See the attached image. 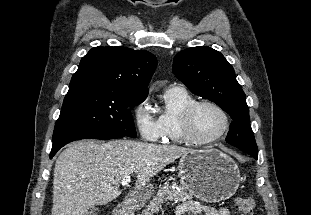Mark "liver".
<instances>
[{
  "label": "liver",
  "mask_w": 311,
  "mask_h": 215,
  "mask_svg": "<svg viewBox=\"0 0 311 215\" xmlns=\"http://www.w3.org/2000/svg\"><path fill=\"white\" fill-rule=\"evenodd\" d=\"M192 150L132 140L72 143L59 155L53 179L52 215H84L116 199L126 175L136 174V187L146 186L166 165ZM130 201V199H128Z\"/></svg>",
  "instance_id": "1"
}]
</instances>
